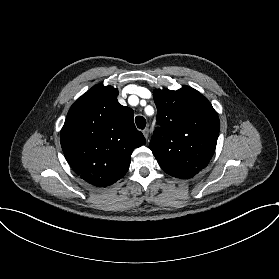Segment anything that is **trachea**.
<instances>
[{
  "mask_svg": "<svg viewBox=\"0 0 279 279\" xmlns=\"http://www.w3.org/2000/svg\"><path fill=\"white\" fill-rule=\"evenodd\" d=\"M135 122L139 129H144L146 126V119L143 116H137Z\"/></svg>",
  "mask_w": 279,
  "mask_h": 279,
  "instance_id": "trachea-1",
  "label": "trachea"
}]
</instances>
